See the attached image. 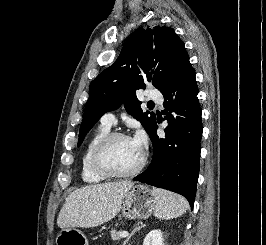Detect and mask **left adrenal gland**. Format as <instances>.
<instances>
[{
    "instance_id": "left-adrenal-gland-1",
    "label": "left adrenal gland",
    "mask_w": 266,
    "mask_h": 245,
    "mask_svg": "<svg viewBox=\"0 0 266 245\" xmlns=\"http://www.w3.org/2000/svg\"><path fill=\"white\" fill-rule=\"evenodd\" d=\"M140 225V227H139ZM142 227H145V225H143V223H137L135 229H133L132 233H130L129 237H127L126 241H124L123 245H127L128 241H130L132 235H135V233H137V231H141Z\"/></svg>"
}]
</instances>
